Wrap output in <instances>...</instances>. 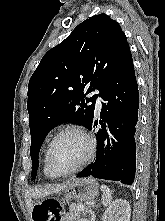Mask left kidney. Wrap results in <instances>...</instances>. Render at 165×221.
Listing matches in <instances>:
<instances>
[{"instance_id": "obj_1", "label": "left kidney", "mask_w": 165, "mask_h": 221, "mask_svg": "<svg viewBox=\"0 0 165 221\" xmlns=\"http://www.w3.org/2000/svg\"><path fill=\"white\" fill-rule=\"evenodd\" d=\"M131 208L129 202L117 199L104 212L102 221H130Z\"/></svg>"}]
</instances>
